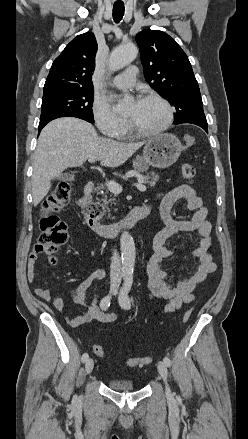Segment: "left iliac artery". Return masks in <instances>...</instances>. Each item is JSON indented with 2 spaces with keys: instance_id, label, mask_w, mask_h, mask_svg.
I'll return each mask as SVG.
<instances>
[{
  "instance_id": "obj_1",
  "label": "left iliac artery",
  "mask_w": 248,
  "mask_h": 439,
  "mask_svg": "<svg viewBox=\"0 0 248 439\" xmlns=\"http://www.w3.org/2000/svg\"><path fill=\"white\" fill-rule=\"evenodd\" d=\"M132 283H133V275L127 274L125 276V281L123 287L121 288L120 296H119V303L121 307L126 310L131 308V300L128 294L129 291L131 290ZM163 362L166 364V366L168 367L171 366V360L168 357H164Z\"/></svg>"
}]
</instances>
